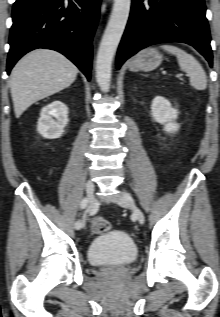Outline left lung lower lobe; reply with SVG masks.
Instances as JSON below:
<instances>
[{"label": "left lung lower lobe", "mask_w": 220, "mask_h": 317, "mask_svg": "<svg viewBox=\"0 0 220 317\" xmlns=\"http://www.w3.org/2000/svg\"><path fill=\"white\" fill-rule=\"evenodd\" d=\"M205 11L204 0H132L130 18L118 49L117 69L139 50L161 42L188 43L212 66Z\"/></svg>", "instance_id": "1"}]
</instances>
